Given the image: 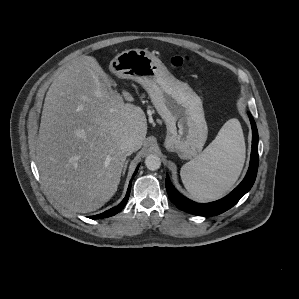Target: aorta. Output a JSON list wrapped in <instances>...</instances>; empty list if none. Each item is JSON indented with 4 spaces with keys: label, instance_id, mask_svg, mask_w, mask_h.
<instances>
[{
    "label": "aorta",
    "instance_id": "aorta-1",
    "mask_svg": "<svg viewBox=\"0 0 299 299\" xmlns=\"http://www.w3.org/2000/svg\"><path fill=\"white\" fill-rule=\"evenodd\" d=\"M145 165L147 169L151 171L158 170L161 166V160L159 156L155 154L148 155L145 159Z\"/></svg>",
    "mask_w": 299,
    "mask_h": 299
}]
</instances>
